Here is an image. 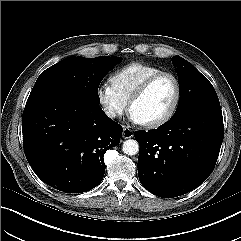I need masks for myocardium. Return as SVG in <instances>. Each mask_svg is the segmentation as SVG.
Here are the masks:
<instances>
[{"label": "myocardium", "instance_id": "f54148a6", "mask_svg": "<svg viewBox=\"0 0 241 241\" xmlns=\"http://www.w3.org/2000/svg\"><path fill=\"white\" fill-rule=\"evenodd\" d=\"M161 77H169L173 80V82L175 84V97H174L171 107L162 117L158 118L157 120L151 121V122L141 123L142 126H144L145 128H148V129H155V128L163 126L164 124L169 122L175 115V113L179 107V104H180L181 92H182L181 91V83H180L178 77L175 74H173L171 72H166V71H160L158 73H155L152 76H150L149 78H147L137 88V90L133 93V95L131 96V98L128 102L129 103V111L132 112L133 105L140 98H142L146 94V92L149 90V88Z\"/></svg>", "mask_w": 241, "mask_h": 241}]
</instances>
